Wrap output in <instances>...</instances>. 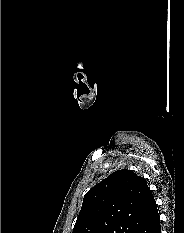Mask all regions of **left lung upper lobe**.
I'll use <instances>...</instances> for the list:
<instances>
[{
  "mask_svg": "<svg viewBox=\"0 0 184 233\" xmlns=\"http://www.w3.org/2000/svg\"><path fill=\"white\" fill-rule=\"evenodd\" d=\"M153 200L142 177L115 171L85 194L72 233H137Z\"/></svg>",
  "mask_w": 184,
  "mask_h": 233,
  "instance_id": "5c2ea615",
  "label": "left lung upper lobe"
}]
</instances>
